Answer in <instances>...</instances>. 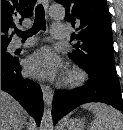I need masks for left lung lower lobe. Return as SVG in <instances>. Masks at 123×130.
Instances as JSON below:
<instances>
[{
	"instance_id": "left-lung-lower-lobe-1",
	"label": "left lung lower lobe",
	"mask_w": 123,
	"mask_h": 130,
	"mask_svg": "<svg viewBox=\"0 0 123 130\" xmlns=\"http://www.w3.org/2000/svg\"><path fill=\"white\" fill-rule=\"evenodd\" d=\"M85 69L89 75V82L85 87L74 91H56L52 104L54 124L73 109L90 102L112 105L123 113V101L118 77L105 71Z\"/></svg>"
}]
</instances>
